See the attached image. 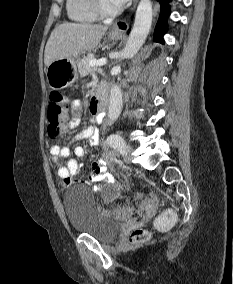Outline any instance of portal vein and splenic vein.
Returning <instances> with one entry per match:
<instances>
[{"instance_id":"18ae733b","label":"portal vein and splenic vein","mask_w":233,"mask_h":284,"mask_svg":"<svg viewBox=\"0 0 233 284\" xmlns=\"http://www.w3.org/2000/svg\"><path fill=\"white\" fill-rule=\"evenodd\" d=\"M106 63H107V59H105V58H102L100 60L92 59V60H90L89 65L91 67H95V66L105 65Z\"/></svg>"}]
</instances>
